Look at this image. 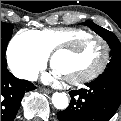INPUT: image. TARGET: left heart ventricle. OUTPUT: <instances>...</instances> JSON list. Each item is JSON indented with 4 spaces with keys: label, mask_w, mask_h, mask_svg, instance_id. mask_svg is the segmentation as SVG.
Instances as JSON below:
<instances>
[{
    "label": "left heart ventricle",
    "mask_w": 121,
    "mask_h": 121,
    "mask_svg": "<svg viewBox=\"0 0 121 121\" xmlns=\"http://www.w3.org/2000/svg\"><path fill=\"white\" fill-rule=\"evenodd\" d=\"M103 46L97 40L87 41L73 55L60 53L53 61V69L64 78L83 75L94 70L102 61Z\"/></svg>",
    "instance_id": "left-heart-ventricle-1"
}]
</instances>
